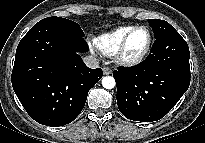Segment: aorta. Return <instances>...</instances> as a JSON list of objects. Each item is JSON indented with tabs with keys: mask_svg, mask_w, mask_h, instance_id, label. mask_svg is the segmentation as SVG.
Here are the masks:
<instances>
[{
	"mask_svg": "<svg viewBox=\"0 0 205 143\" xmlns=\"http://www.w3.org/2000/svg\"><path fill=\"white\" fill-rule=\"evenodd\" d=\"M115 79L111 76H105L103 77L102 79V86L105 88V89H112L115 87Z\"/></svg>",
	"mask_w": 205,
	"mask_h": 143,
	"instance_id": "1",
	"label": "aorta"
}]
</instances>
